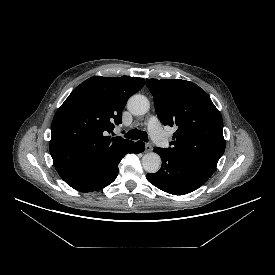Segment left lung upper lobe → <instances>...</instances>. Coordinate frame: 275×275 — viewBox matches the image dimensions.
<instances>
[{
    "instance_id": "obj_1",
    "label": "left lung upper lobe",
    "mask_w": 275,
    "mask_h": 275,
    "mask_svg": "<svg viewBox=\"0 0 275 275\" xmlns=\"http://www.w3.org/2000/svg\"><path fill=\"white\" fill-rule=\"evenodd\" d=\"M164 125L175 126L169 152L211 176L225 151L223 120L210 97L186 80L146 79Z\"/></svg>"
}]
</instances>
